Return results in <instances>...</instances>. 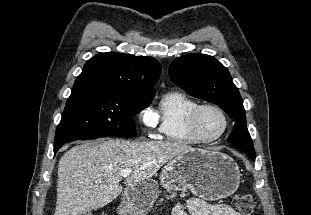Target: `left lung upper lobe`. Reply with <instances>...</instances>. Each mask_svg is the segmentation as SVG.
<instances>
[{"mask_svg":"<svg viewBox=\"0 0 311 215\" xmlns=\"http://www.w3.org/2000/svg\"><path fill=\"white\" fill-rule=\"evenodd\" d=\"M169 76L189 95L220 106L235 121L227 141L255 159L243 101L226 67L212 56L190 54L171 62Z\"/></svg>","mask_w":311,"mask_h":215,"instance_id":"5c2ea615","label":"left lung upper lobe"}]
</instances>
